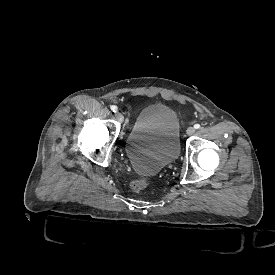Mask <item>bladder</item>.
Here are the masks:
<instances>
[{
  "label": "bladder",
  "instance_id": "bladder-1",
  "mask_svg": "<svg viewBox=\"0 0 275 275\" xmlns=\"http://www.w3.org/2000/svg\"><path fill=\"white\" fill-rule=\"evenodd\" d=\"M181 120L166 103H148L138 113L127 142L130 162L144 174H155L180 154Z\"/></svg>",
  "mask_w": 275,
  "mask_h": 275
}]
</instances>
